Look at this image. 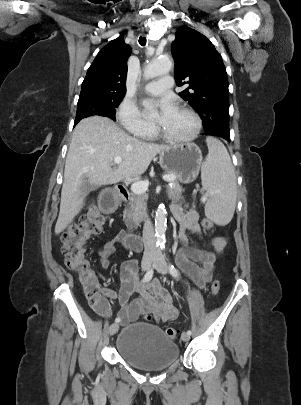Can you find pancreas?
I'll use <instances>...</instances> for the list:
<instances>
[{"label":"pancreas","mask_w":301,"mask_h":405,"mask_svg":"<svg viewBox=\"0 0 301 405\" xmlns=\"http://www.w3.org/2000/svg\"><path fill=\"white\" fill-rule=\"evenodd\" d=\"M173 176L175 174H171ZM173 186L168 188L169 194L168 198L173 202H180L183 200L182 197V187L177 183V181H171ZM147 194H136L131 193L129 196V203L124 210V221L127 226H138L143 220L146 209Z\"/></svg>","instance_id":"obj_1"}]
</instances>
